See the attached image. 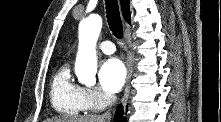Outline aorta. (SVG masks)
I'll list each match as a JSON object with an SVG mask.
<instances>
[{
  "mask_svg": "<svg viewBox=\"0 0 221 122\" xmlns=\"http://www.w3.org/2000/svg\"><path fill=\"white\" fill-rule=\"evenodd\" d=\"M102 28V18L93 14L79 25V47L75 62L78 81L86 86L96 82L97 55L95 46Z\"/></svg>",
  "mask_w": 221,
  "mask_h": 122,
  "instance_id": "aorta-1",
  "label": "aorta"
}]
</instances>
